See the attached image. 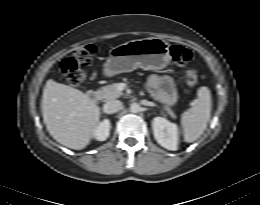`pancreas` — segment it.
<instances>
[{"label": "pancreas", "mask_w": 260, "mask_h": 205, "mask_svg": "<svg viewBox=\"0 0 260 205\" xmlns=\"http://www.w3.org/2000/svg\"><path fill=\"white\" fill-rule=\"evenodd\" d=\"M151 96L153 97V93L152 91H149ZM99 96L101 99H103L104 101H110L116 98H119L120 96L123 95V93L121 91L118 90V84L117 83H113L107 86L102 87L99 90ZM164 110L172 117V118H176L175 113L171 110L170 107L168 106H164Z\"/></svg>", "instance_id": "cf45deb5"}]
</instances>
